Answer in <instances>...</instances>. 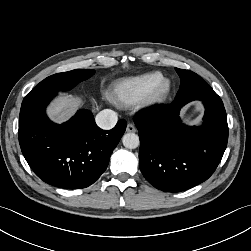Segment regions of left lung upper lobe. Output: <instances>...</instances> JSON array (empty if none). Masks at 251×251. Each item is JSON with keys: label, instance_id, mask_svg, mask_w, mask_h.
<instances>
[{"label": "left lung upper lobe", "instance_id": "obj_1", "mask_svg": "<svg viewBox=\"0 0 251 251\" xmlns=\"http://www.w3.org/2000/svg\"><path fill=\"white\" fill-rule=\"evenodd\" d=\"M175 70L181 79L179 91L194 89V87H199L201 84L206 83L200 76L192 71L179 68H175Z\"/></svg>", "mask_w": 251, "mask_h": 251}]
</instances>
